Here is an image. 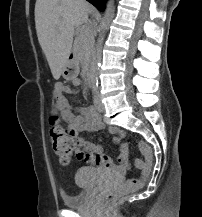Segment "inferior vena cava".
<instances>
[{"mask_svg": "<svg viewBox=\"0 0 202 217\" xmlns=\"http://www.w3.org/2000/svg\"><path fill=\"white\" fill-rule=\"evenodd\" d=\"M96 27V22L92 21L90 22L89 28L93 31Z\"/></svg>", "mask_w": 202, "mask_h": 217, "instance_id": "602c4592", "label": "inferior vena cava"}]
</instances>
